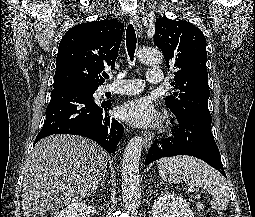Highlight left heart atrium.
<instances>
[{
    "instance_id": "obj_1",
    "label": "left heart atrium",
    "mask_w": 255,
    "mask_h": 217,
    "mask_svg": "<svg viewBox=\"0 0 255 217\" xmlns=\"http://www.w3.org/2000/svg\"><path fill=\"white\" fill-rule=\"evenodd\" d=\"M121 117L136 127H149L159 120V112L147 97L126 102L120 109Z\"/></svg>"
}]
</instances>
